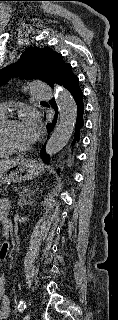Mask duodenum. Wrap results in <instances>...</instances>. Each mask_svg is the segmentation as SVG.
<instances>
[{
  "label": "duodenum",
  "mask_w": 118,
  "mask_h": 320,
  "mask_svg": "<svg viewBox=\"0 0 118 320\" xmlns=\"http://www.w3.org/2000/svg\"><path fill=\"white\" fill-rule=\"evenodd\" d=\"M0 222L3 224L5 234H7L8 218H7L6 214H0Z\"/></svg>",
  "instance_id": "1"
}]
</instances>
